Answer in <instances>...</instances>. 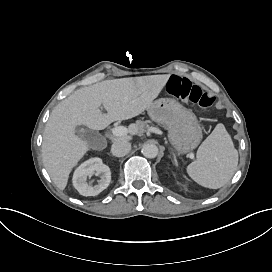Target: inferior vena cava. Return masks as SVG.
<instances>
[{"label":"inferior vena cava","mask_w":272,"mask_h":272,"mask_svg":"<svg viewBox=\"0 0 272 272\" xmlns=\"http://www.w3.org/2000/svg\"><path fill=\"white\" fill-rule=\"evenodd\" d=\"M130 150L131 144L124 140L115 141L111 147V152L116 157L125 156L126 154L129 153Z\"/></svg>","instance_id":"obj_1"}]
</instances>
